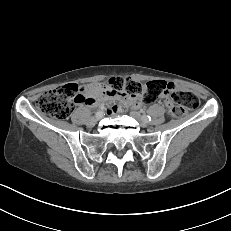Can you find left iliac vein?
<instances>
[{
    "mask_svg": "<svg viewBox=\"0 0 231 231\" xmlns=\"http://www.w3.org/2000/svg\"><path fill=\"white\" fill-rule=\"evenodd\" d=\"M131 116L139 122L141 127H143V128L147 127L148 122L146 120H144V118L138 112L132 111Z\"/></svg>",
    "mask_w": 231,
    "mask_h": 231,
    "instance_id": "1",
    "label": "left iliac vein"
}]
</instances>
